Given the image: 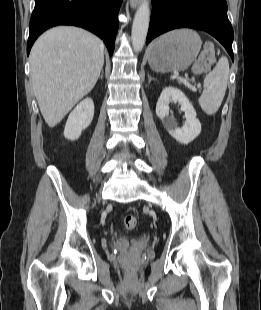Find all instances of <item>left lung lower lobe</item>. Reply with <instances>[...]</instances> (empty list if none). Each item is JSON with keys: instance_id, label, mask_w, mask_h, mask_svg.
<instances>
[{"instance_id": "0a47b994", "label": "left lung lower lobe", "mask_w": 261, "mask_h": 310, "mask_svg": "<svg viewBox=\"0 0 261 310\" xmlns=\"http://www.w3.org/2000/svg\"><path fill=\"white\" fill-rule=\"evenodd\" d=\"M184 27L208 32L234 60V34L227 17L226 0H152L147 44L160 34Z\"/></svg>"}]
</instances>
